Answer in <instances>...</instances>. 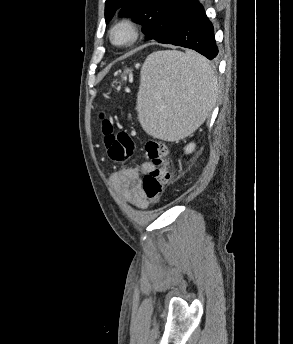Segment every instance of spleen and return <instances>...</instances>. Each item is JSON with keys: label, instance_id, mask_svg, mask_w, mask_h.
I'll return each instance as SVG.
<instances>
[{"label": "spleen", "instance_id": "obj_1", "mask_svg": "<svg viewBox=\"0 0 293 344\" xmlns=\"http://www.w3.org/2000/svg\"><path fill=\"white\" fill-rule=\"evenodd\" d=\"M217 95V76L204 57L193 51H157L141 69L138 119L154 138L179 140L205 121Z\"/></svg>", "mask_w": 293, "mask_h": 344}]
</instances>
